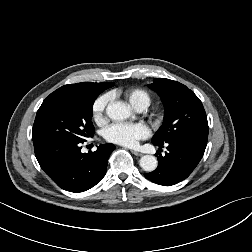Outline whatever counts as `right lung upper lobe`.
Here are the masks:
<instances>
[{
	"label": "right lung upper lobe",
	"mask_w": 252,
	"mask_h": 252,
	"mask_svg": "<svg viewBox=\"0 0 252 252\" xmlns=\"http://www.w3.org/2000/svg\"><path fill=\"white\" fill-rule=\"evenodd\" d=\"M114 83H92V82H82L77 84H68L62 86L61 90H70L78 93H85L90 95L98 96L104 90L112 87Z\"/></svg>",
	"instance_id": "right-lung-upper-lobe-1"
}]
</instances>
